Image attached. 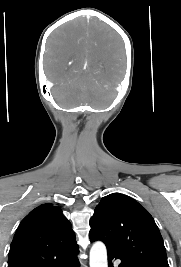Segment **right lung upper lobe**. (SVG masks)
Returning <instances> with one entry per match:
<instances>
[{
  "label": "right lung upper lobe",
  "instance_id": "obj_1",
  "mask_svg": "<svg viewBox=\"0 0 181 267\" xmlns=\"http://www.w3.org/2000/svg\"><path fill=\"white\" fill-rule=\"evenodd\" d=\"M78 250L75 234L62 210L42 204L20 223L10 246L8 267L46 264Z\"/></svg>",
  "mask_w": 181,
  "mask_h": 267
}]
</instances>
